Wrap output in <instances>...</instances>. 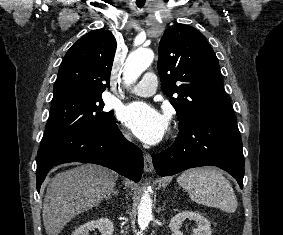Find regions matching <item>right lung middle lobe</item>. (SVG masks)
<instances>
[{
  "instance_id": "dd1d6c3e",
  "label": "right lung middle lobe",
  "mask_w": 283,
  "mask_h": 235,
  "mask_svg": "<svg viewBox=\"0 0 283 235\" xmlns=\"http://www.w3.org/2000/svg\"><path fill=\"white\" fill-rule=\"evenodd\" d=\"M102 96L71 97L52 103L41 147L81 133H91L115 121L113 112L103 111Z\"/></svg>"
}]
</instances>
